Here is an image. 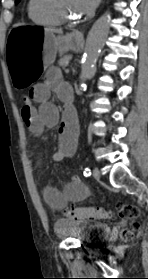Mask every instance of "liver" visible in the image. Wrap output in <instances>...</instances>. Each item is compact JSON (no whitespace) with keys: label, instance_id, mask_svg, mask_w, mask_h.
Returning <instances> with one entry per match:
<instances>
[{"label":"liver","instance_id":"6515ba94","mask_svg":"<svg viewBox=\"0 0 148 279\" xmlns=\"http://www.w3.org/2000/svg\"><path fill=\"white\" fill-rule=\"evenodd\" d=\"M45 31L48 33H52V34H54V33L62 34L63 33V31L61 29H54V28H46Z\"/></svg>","mask_w":148,"mask_h":279}]
</instances>
